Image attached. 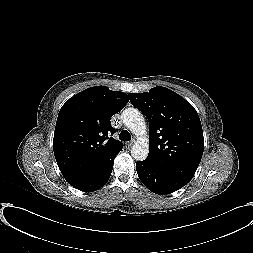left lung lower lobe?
<instances>
[{"mask_svg":"<svg viewBox=\"0 0 253 253\" xmlns=\"http://www.w3.org/2000/svg\"><path fill=\"white\" fill-rule=\"evenodd\" d=\"M136 170L141 182L150 191L159 195L175 192L188 183L155 168L146 161L137 162Z\"/></svg>","mask_w":253,"mask_h":253,"instance_id":"obj_1","label":"left lung lower lobe"}]
</instances>
